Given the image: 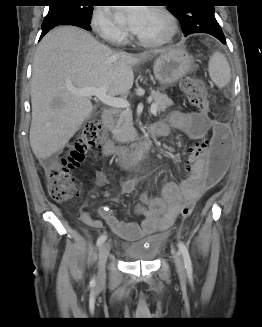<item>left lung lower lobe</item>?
<instances>
[{"label":"left lung lower lobe","mask_w":262,"mask_h":327,"mask_svg":"<svg viewBox=\"0 0 262 327\" xmlns=\"http://www.w3.org/2000/svg\"><path fill=\"white\" fill-rule=\"evenodd\" d=\"M214 37H216L218 40H220L223 44L226 43V39L224 35H214L212 34Z\"/></svg>","instance_id":"0a47b994"}]
</instances>
